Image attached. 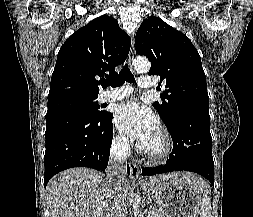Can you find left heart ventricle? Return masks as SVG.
Wrapping results in <instances>:
<instances>
[{
  "instance_id": "left-heart-ventricle-1",
  "label": "left heart ventricle",
  "mask_w": 253,
  "mask_h": 217,
  "mask_svg": "<svg viewBox=\"0 0 253 217\" xmlns=\"http://www.w3.org/2000/svg\"><path fill=\"white\" fill-rule=\"evenodd\" d=\"M146 149L150 151H158L161 148V138L156 131V133L143 145Z\"/></svg>"
}]
</instances>
